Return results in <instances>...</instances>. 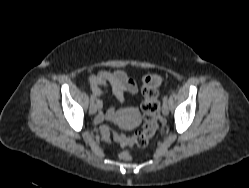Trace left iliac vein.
Segmentation results:
<instances>
[{"label": "left iliac vein", "mask_w": 249, "mask_h": 188, "mask_svg": "<svg viewBox=\"0 0 249 188\" xmlns=\"http://www.w3.org/2000/svg\"><path fill=\"white\" fill-rule=\"evenodd\" d=\"M162 113L163 115L167 116L169 114V107H168V104L167 103H164L163 102V105H162Z\"/></svg>", "instance_id": "1"}]
</instances>
